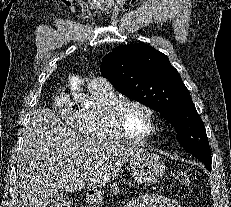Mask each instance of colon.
I'll list each match as a JSON object with an SVG mask.
<instances>
[{"mask_svg": "<svg viewBox=\"0 0 231 207\" xmlns=\"http://www.w3.org/2000/svg\"><path fill=\"white\" fill-rule=\"evenodd\" d=\"M176 181L183 187L189 188L191 186V179L189 175L185 172H178L175 174ZM53 207H73L71 203H62L59 205H55Z\"/></svg>", "mask_w": 231, "mask_h": 207, "instance_id": "obj_1", "label": "colon"}]
</instances>
